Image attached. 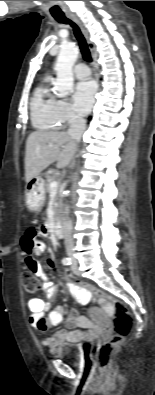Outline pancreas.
<instances>
[{
	"instance_id": "1",
	"label": "pancreas",
	"mask_w": 155,
	"mask_h": 395,
	"mask_svg": "<svg viewBox=\"0 0 155 395\" xmlns=\"http://www.w3.org/2000/svg\"><path fill=\"white\" fill-rule=\"evenodd\" d=\"M45 178H46L45 190H46V192H50V190H51L50 183L53 181V176H51L49 173H46Z\"/></svg>"
}]
</instances>
